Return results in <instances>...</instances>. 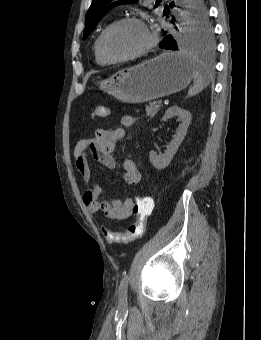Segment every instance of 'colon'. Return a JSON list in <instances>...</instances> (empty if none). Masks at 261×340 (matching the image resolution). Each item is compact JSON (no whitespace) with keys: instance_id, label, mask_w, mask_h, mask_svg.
<instances>
[{"instance_id":"5ec220e1","label":"colon","mask_w":261,"mask_h":340,"mask_svg":"<svg viewBox=\"0 0 261 340\" xmlns=\"http://www.w3.org/2000/svg\"><path fill=\"white\" fill-rule=\"evenodd\" d=\"M109 114V108L106 106H97L92 115L95 117H106ZM153 209V201L146 196H137L132 211L135 214V220L129 227L122 232H114L102 229L105 239L113 243H129L140 239L144 236L146 231L147 218L151 214Z\"/></svg>"}]
</instances>
